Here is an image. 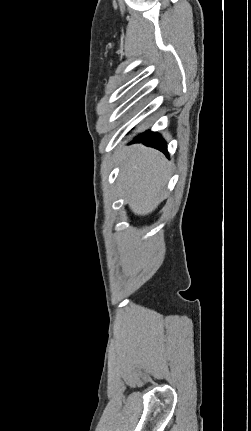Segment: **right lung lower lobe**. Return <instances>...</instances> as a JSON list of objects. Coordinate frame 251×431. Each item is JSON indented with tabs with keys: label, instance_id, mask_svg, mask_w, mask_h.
I'll return each instance as SVG.
<instances>
[{
	"label": "right lung lower lobe",
	"instance_id": "right-lung-lower-lobe-1",
	"mask_svg": "<svg viewBox=\"0 0 251 431\" xmlns=\"http://www.w3.org/2000/svg\"><path fill=\"white\" fill-rule=\"evenodd\" d=\"M133 142L143 143L146 146L156 148L168 156L166 142L155 132L146 131L135 137Z\"/></svg>",
	"mask_w": 251,
	"mask_h": 431
}]
</instances>
